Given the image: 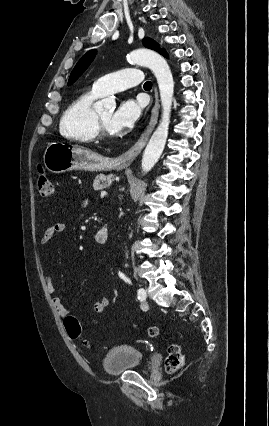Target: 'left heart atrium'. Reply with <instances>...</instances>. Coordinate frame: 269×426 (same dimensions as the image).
<instances>
[{
  "label": "left heart atrium",
  "instance_id": "39dd6f15",
  "mask_svg": "<svg viewBox=\"0 0 269 426\" xmlns=\"http://www.w3.org/2000/svg\"><path fill=\"white\" fill-rule=\"evenodd\" d=\"M143 109L142 103L134 99H127L120 103L111 118V127L114 131H122L133 126L139 119Z\"/></svg>",
  "mask_w": 269,
  "mask_h": 426
}]
</instances>
